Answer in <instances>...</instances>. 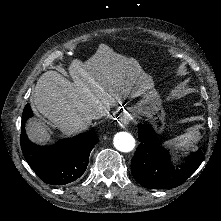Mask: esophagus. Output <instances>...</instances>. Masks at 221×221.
Masks as SVG:
<instances>
[{
	"label": "esophagus",
	"instance_id": "obj_1",
	"mask_svg": "<svg viewBox=\"0 0 221 221\" xmlns=\"http://www.w3.org/2000/svg\"><path fill=\"white\" fill-rule=\"evenodd\" d=\"M129 123V117L127 115L123 116V124L126 126Z\"/></svg>",
	"mask_w": 221,
	"mask_h": 221
}]
</instances>
